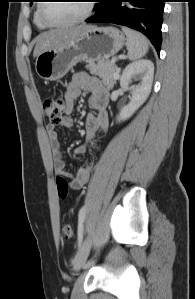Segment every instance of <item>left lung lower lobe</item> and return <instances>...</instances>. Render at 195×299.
Returning <instances> with one entry per match:
<instances>
[{
	"label": "left lung lower lobe",
	"mask_w": 195,
	"mask_h": 299,
	"mask_svg": "<svg viewBox=\"0 0 195 299\" xmlns=\"http://www.w3.org/2000/svg\"><path fill=\"white\" fill-rule=\"evenodd\" d=\"M97 12L86 22H107L143 33L161 49V26L165 0H98Z\"/></svg>",
	"instance_id": "left-lung-lower-lobe-1"
}]
</instances>
